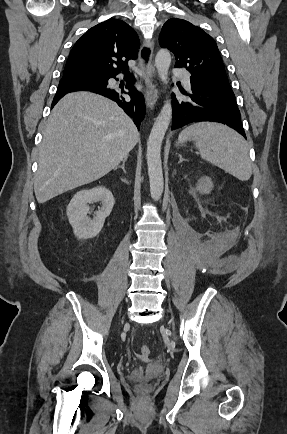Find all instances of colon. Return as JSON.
Segmentation results:
<instances>
[{"label": "colon", "instance_id": "1", "mask_svg": "<svg viewBox=\"0 0 287 434\" xmlns=\"http://www.w3.org/2000/svg\"><path fill=\"white\" fill-rule=\"evenodd\" d=\"M149 355H150V348L147 345H142L140 347V357L142 359H146V358H148ZM144 396H145V393H142L141 397H144Z\"/></svg>", "mask_w": 287, "mask_h": 434}]
</instances>
